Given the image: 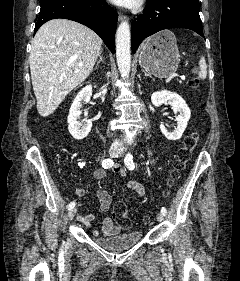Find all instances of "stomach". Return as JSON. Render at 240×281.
Wrapping results in <instances>:
<instances>
[{"instance_id":"1","label":"stomach","mask_w":240,"mask_h":281,"mask_svg":"<svg viewBox=\"0 0 240 281\" xmlns=\"http://www.w3.org/2000/svg\"><path fill=\"white\" fill-rule=\"evenodd\" d=\"M139 64L158 78L171 76L178 68L180 55L175 35L168 30L148 38L141 46Z\"/></svg>"}]
</instances>
